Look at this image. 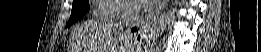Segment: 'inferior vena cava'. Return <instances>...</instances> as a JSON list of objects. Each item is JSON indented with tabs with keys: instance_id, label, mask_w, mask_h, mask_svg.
I'll list each match as a JSON object with an SVG mask.
<instances>
[{
	"instance_id": "602c4592",
	"label": "inferior vena cava",
	"mask_w": 261,
	"mask_h": 52,
	"mask_svg": "<svg viewBox=\"0 0 261 52\" xmlns=\"http://www.w3.org/2000/svg\"><path fill=\"white\" fill-rule=\"evenodd\" d=\"M137 17H138L137 7L132 4H127L125 7V13L122 19V24L125 25L126 27L130 26L137 19Z\"/></svg>"
}]
</instances>
